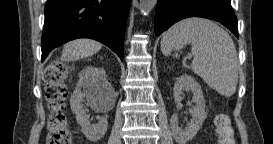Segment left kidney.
I'll return each instance as SVG.
<instances>
[{"label":"left kidney","mask_w":273,"mask_h":144,"mask_svg":"<svg viewBox=\"0 0 273 144\" xmlns=\"http://www.w3.org/2000/svg\"><path fill=\"white\" fill-rule=\"evenodd\" d=\"M183 91H191L193 93L195 106L190 110L192 119L185 130L179 128L176 113H174L170 119L172 134L178 144H186L189 140L193 139L206 118L205 100L202 89L199 83L192 76L183 74L176 80L173 88L175 103H180L182 101Z\"/></svg>","instance_id":"5707ae66"}]
</instances>
